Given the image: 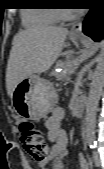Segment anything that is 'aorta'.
<instances>
[{"mask_svg": "<svg viewBox=\"0 0 104 169\" xmlns=\"http://www.w3.org/2000/svg\"><path fill=\"white\" fill-rule=\"evenodd\" d=\"M103 88L104 70L103 68L97 67L93 75L90 91L86 102L85 134L87 140L95 139L96 114L98 110L99 100L103 93Z\"/></svg>", "mask_w": 104, "mask_h": 169, "instance_id": "762f6f07", "label": "aorta"}]
</instances>
